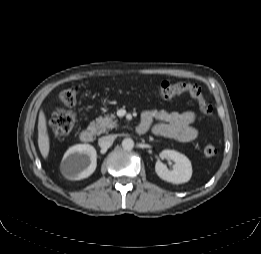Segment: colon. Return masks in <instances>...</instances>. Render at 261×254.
I'll use <instances>...</instances> for the list:
<instances>
[{
  "instance_id": "obj_1",
  "label": "colon",
  "mask_w": 261,
  "mask_h": 254,
  "mask_svg": "<svg viewBox=\"0 0 261 254\" xmlns=\"http://www.w3.org/2000/svg\"><path fill=\"white\" fill-rule=\"evenodd\" d=\"M78 94V86L66 88L59 93L58 100L61 106L50 118L51 128L57 136H65L72 131L76 116L70 108L76 104ZM181 94H186L195 101L205 117H214L213 106L205 99L198 84L165 80L161 82L158 89V97L163 100H168ZM217 152V148L213 145H207L203 150L204 155L209 158L216 156Z\"/></svg>"
}]
</instances>
